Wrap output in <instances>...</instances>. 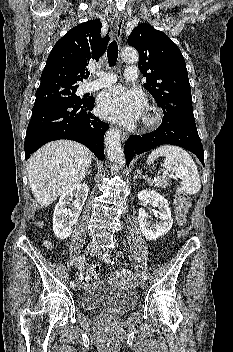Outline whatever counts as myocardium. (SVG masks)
I'll use <instances>...</instances> for the list:
<instances>
[{
    "label": "myocardium",
    "mask_w": 233,
    "mask_h": 352,
    "mask_svg": "<svg viewBox=\"0 0 233 352\" xmlns=\"http://www.w3.org/2000/svg\"><path fill=\"white\" fill-rule=\"evenodd\" d=\"M162 118L160 110L154 106L149 105L145 110V114L143 116V124L146 127H152L160 122Z\"/></svg>",
    "instance_id": "1"
}]
</instances>
